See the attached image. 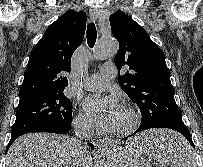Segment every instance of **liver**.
Segmentation results:
<instances>
[{"label":"liver","mask_w":203,"mask_h":167,"mask_svg":"<svg viewBox=\"0 0 203 167\" xmlns=\"http://www.w3.org/2000/svg\"><path fill=\"white\" fill-rule=\"evenodd\" d=\"M142 141L133 140L134 146ZM111 154V152H110ZM111 160V155H109ZM5 167H93L86 150L80 155L75 139L49 133H29L18 138L8 150Z\"/></svg>","instance_id":"6515ba94"}]
</instances>
